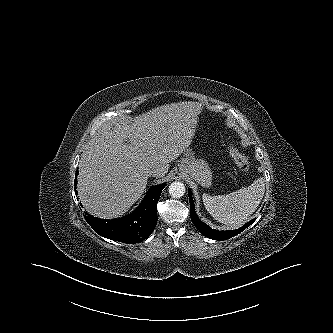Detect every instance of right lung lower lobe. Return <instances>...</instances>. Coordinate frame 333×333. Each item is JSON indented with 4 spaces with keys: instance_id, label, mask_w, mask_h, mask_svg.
Listing matches in <instances>:
<instances>
[{
    "instance_id": "1",
    "label": "right lung lower lobe",
    "mask_w": 333,
    "mask_h": 333,
    "mask_svg": "<svg viewBox=\"0 0 333 333\" xmlns=\"http://www.w3.org/2000/svg\"><path fill=\"white\" fill-rule=\"evenodd\" d=\"M165 186L166 184H161L151 187L138 208L122 218L104 220L93 217L87 212L84 218L96 233L105 238L128 244L142 242L150 236L157 225L156 207Z\"/></svg>"
}]
</instances>
